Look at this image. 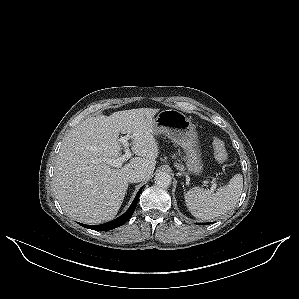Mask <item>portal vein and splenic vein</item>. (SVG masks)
I'll return each instance as SVG.
<instances>
[{"instance_id":"1","label":"portal vein and splenic vein","mask_w":299,"mask_h":299,"mask_svg":"<svg viewBox=\"0 0 299 299\" xmlns=\"http://www.w3.org/2000/svg\"><path fill=\"white\" fill-rule=\"evenodd\" d=\"M130 138H131V136L129 134H127L126 136L121 137L120 140H119L124 146V149H125V154L124 155H122L121 157H119L116 160L104 159V160H99L98 162L103 161V162H106L107 164H110L111 166L121 167L122 163L124 161L128 160L131 157V151L129 149V142H128V140ZM216 186L217 185H216L215 181H212V186L210 188V192H214L215 189H216Z\"/></svg>"}]
</instances>
